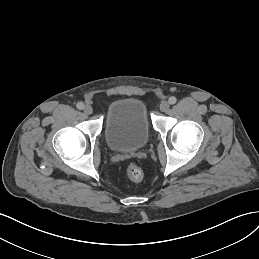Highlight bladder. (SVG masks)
<instances>
[{
  "label": "bladder",
  "mask_w": 259,
  "mask_h": 259,
  "mask_svg": "<svg viewBox=\"0 0 259 259\" xmlns=\"http://www.w3.org/2000/svg\"><path fill=\"white\" fill-rule=\"evenodd\" d=\"M150 126L144 103L136 97H122L108 107L105 140L114 151H135L148 142Z\"/></svg>",
  "instance_id": "bladder-1"
}]
</instances>
